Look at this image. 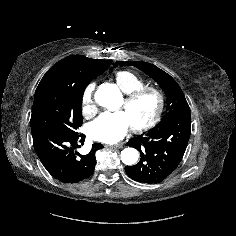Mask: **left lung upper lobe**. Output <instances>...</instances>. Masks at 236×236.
<instances>
[{
    "mask_svg": "<svg viewBox=\"0 0 236 236\" xmlns=\"http://www.w3.org/2000/svg\"><path fill=\"white\" fill-rule=\"evenodd\" d=\"M118 65H132L137 67L152 79H154L165 92L167 97L166 114L154 128L160 127L175 116L183 114L190 115L189 105L180 86L169 74L159 69L155 65L143 61H118L115 63V66Z\"/></svg>",
    "mask_w": 236,
    "mask_h": 236,
    "instance_id": "left-lung-upper-lobe-1",
    "label": "left lung upper lobe"
}]
</instances>
